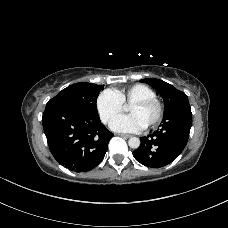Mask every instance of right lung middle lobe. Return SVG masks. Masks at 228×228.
Segmentation results:
<instances>
[{
	"label": "right lung middle lobe",
	"instance_id": "dd1d6c3e",
	"mask_svg": "<svg viewBox=\"0 0 228 228\" xmlns=\"http://www.w3.org/2000/svg\"><path fill=\"white\" fill-rule=\"evenodd\" d=\"M104 85L80 82L60 91L48 103H65L77 107L90 114L98 115L96 101Z\"/></svg>",
	"mask_w": 228,
	"mask_h": 228
}]
</instances>
